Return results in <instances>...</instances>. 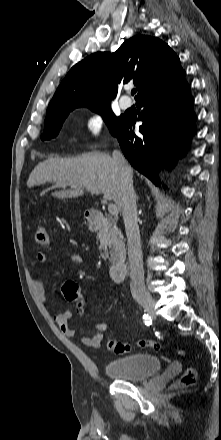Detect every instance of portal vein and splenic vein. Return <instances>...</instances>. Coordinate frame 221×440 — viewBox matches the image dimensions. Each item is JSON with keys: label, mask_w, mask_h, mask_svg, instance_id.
Here are the masks:
<instances>
[{"label": "portal vein and splenic vein", "mask_w": 221, "mask_h": 440, "mask_svg": "<svg viewBox=\"0 0 221 440\" xmlns=\"http://www.w3.org/2000/svg\"><path fill=\"white\" fill-rule=\"evenodd\" d=\"M88 191H90L93 194H99V191L97 189H93V188H86ZM108 211L110 213V215L112 216H117L118 215V208L115 204L110 203L108 205Z\"/></svg>", "instance_id": "portal-vein-and-splenic-vein-1"}]
</instances>
